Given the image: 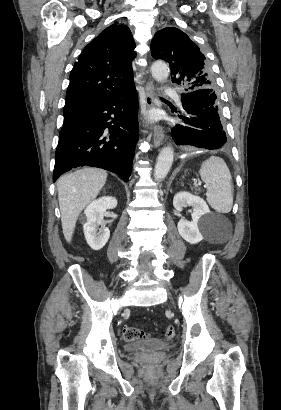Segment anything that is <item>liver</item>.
Listing matches in <instances>:
<instances>
[{
	"instance_id": "6515ba94",
	"label": "liver",
	"mask_w": 281,
	"mask_h": 410,
	"mask_svg": "<svg viewBox=\"0 0 281 410\" xmlns=\"http://www.w3.org/2000/svg\"><path fill=\"white\" fill-rule=\"evenodd\" d=\"M107 180V172L85 167L62 176L57 182L63 234L71 242L82 210L97 197Z\"/></svg>"
}]
</instances>
